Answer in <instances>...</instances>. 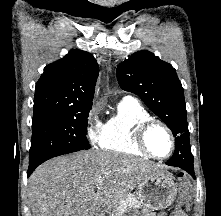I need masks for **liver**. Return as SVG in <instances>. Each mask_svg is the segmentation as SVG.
<instances>
[{
	"label": "liver",
	"instance_id": "6515ba94",
	"mask_svg": "<svg viewBox=\"0 0 221 216\" xmlns=\"http://www.w3.org/2000/svg\"><path fill=\"white\" fill-rule=\"evenodd\" d=\"M166 168L158 163L99 150L56 157L31 175L33 216H104L143 179Z\"/></svg>",
	"mask_w": 221,
	"mask_h": 216
}]
</instances>
